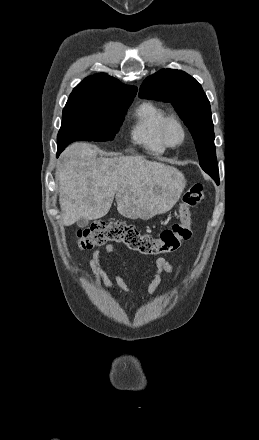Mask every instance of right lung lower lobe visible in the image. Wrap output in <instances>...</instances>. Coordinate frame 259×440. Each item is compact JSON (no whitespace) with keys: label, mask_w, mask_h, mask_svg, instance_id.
Instances as JSON below:
<instances>
[{"label":"right lung lower lobe","mask_w":259,"mask_h":440,"mask_svg":"<svg viewBox=\"0 0 259 440\" xmlns=\"http://www.w3.org/2000/svg\"><path fill=\"white\" fill-rule=\"evenodd\" d=\"M64 150V148L62 146H58V153L57 156H59V154Z\"/></svg>","instance_id":"98d812e1"}]
</instances>
